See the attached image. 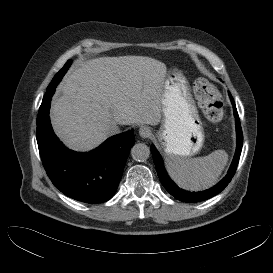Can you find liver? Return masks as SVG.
Wrapping results in <instances>:
<instances>
[{
    "label": "liver",
    "mask_w": 273,
    "mask_h": 273,
    "mask_svg": "<svg viewBox=\"0 0 273 273\" xmlns=\"http://www.w3.org/2000/svg\"><path fill=\"white\" fill-rule=\"evenodd\" d=\"M164 63L144 56L99 57L69 74L53 98L56 135L75 151H90L112 125H157L161 121Z\"/></svg>",
    "instance_id": "6515ba94"
}]
</instances>
